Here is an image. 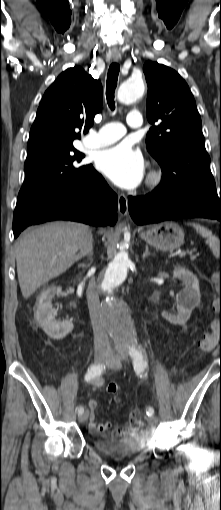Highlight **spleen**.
<instances>
[{
  "label": "spleen",
  "instance_id": "3e777b00",
  "mask_svg": "<svg viewBox=\"0 0 221 510\" xmlns=\"http://www.w3.org/2000/svg\"><path fill=\"white\" fill-rule=\"evenodd\" d=\"M189 225L193 226L197 233H199L202 237L206 238V243L211 248L214 255L217 256L218 250H219V240L218 238L212 234V232L207 229L206 227L199 225L197 223H188Z\"/></svg>",
  "mask_w": 221,
  "mask_h": 510
}]
</instances>
